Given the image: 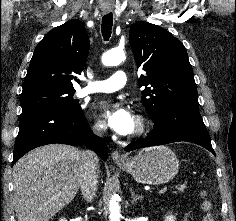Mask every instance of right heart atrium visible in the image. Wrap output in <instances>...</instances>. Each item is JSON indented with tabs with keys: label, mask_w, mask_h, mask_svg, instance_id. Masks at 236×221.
I'll use <instances>...</instances> for the list:
<instances>
[{
	"label": "right heart atrium",
	"mask_w": 236,
	"mask_h": 221,
	"mask_svg": "<svg viewBox=\"0 0 236 221\" xmlns=\"http://www.w3.org/2000/svg\"><path fill=\"white\" fill-rule=\"evenodd\" d=\"M93 131L98 136L103 135L106 131L104 123L101 121H96L93 125Z\"/></svg>",
	"instance_id": "1"
}]
</instances>
